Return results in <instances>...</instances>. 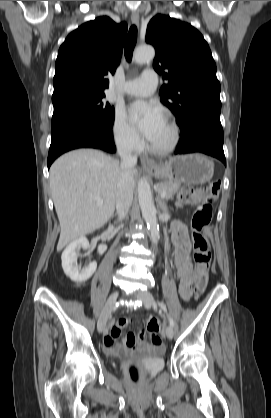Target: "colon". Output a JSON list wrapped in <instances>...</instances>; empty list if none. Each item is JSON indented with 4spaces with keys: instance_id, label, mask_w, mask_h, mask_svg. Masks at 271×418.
I'll list each match as a JSON object with an SVG mask.
<instances>
[{
    "instance_id": "1",
    "label": "colon",
    "mask_w": 271,
    "mask_h": 418,
    "mask_svg": "<svg viewBox=\"0 0 271 418\" xmlns=\"http://www.w3.org/2000/svg\"><path fill=\"white\" fill-rule=\"evenodd\" d=\"M220 189L219 182H212L201 188H183L178 195L180 205L198 204L192 221V239L194 246L195 260V295L200 296L207 285L208 274L211 264V251L205 229L210 225L213 214V203L216 201ZM147 329L150 332V340L154 344L161 343L160 337L156 334L159 324L155 319H148ZM130 376L134 382L139 380V372L135 367L130 368Z\"/></svg>"
}]
</instances>
